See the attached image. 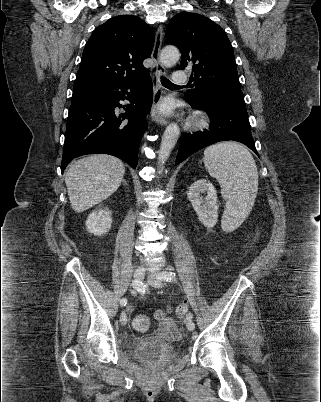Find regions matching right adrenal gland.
<instances>
[{"instance_id": "right-adrenal-gland-1", "label": "right adrenal gland", "mask_w": 321, "mask_h": 402, "mask_svg": "<svg viewBox=\"0 0 321 402\" xmlns=\"http://www.w3.org/2000/svg\"><path fill=\"white\" fill-rule=\"evenodd\" d=\"M122 183H124L125 185H127V183H126V181H125V180H123V181H122Z\"/></svg>"}]
</instances>
